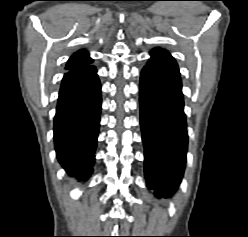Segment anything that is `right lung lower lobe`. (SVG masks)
I'll return each mask as SVG.
<instances>
[{
	"label": "right lung lower lobe",
	"mask_w": 248,
	"mask_h": 237,
	"mask_svg": "<svg viewBox=\"0 0 248 237\" xmlns=\"http://www.w3.org/2000/svg\"><path fill=\"white\" fill-rule=\"evenodd\" d=\"M94 66L64 75L54 120L56 155L72 176L86 179L93 171L98 136L101 95Z\"/></svg>",
	"instance_id": "right-lung-lower-lobe-1"
}]
</instances>
